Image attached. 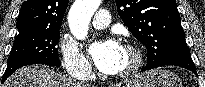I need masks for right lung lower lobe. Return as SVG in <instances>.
I'll return each mask as SVG.
<instances>
[{"mask_svg":"<svg viewBox=\"0 0 205 87\" xmlns=\"http://www.w3.org/2000/svg\"><path fill=\"white\" fill-rule=\"evenodd\" d=\"M45 64L43 62L37 61V60H31V59H15V60H10L8 61V65L6 68V71L4 73V76L2 78V83L18 68L22 67V66H26V65H30V64Z\"/></svg>","mask_w":205,"mask_h":87,"instance_id":"right-lung-lower-lobe-1","label":"right lung lower lobe"}]
</instances>
